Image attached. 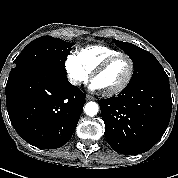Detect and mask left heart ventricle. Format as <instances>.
I'll list each match as a JSON object with an SVG mask.
<instances>
[{"label":"left heart ventricle","mask_w":178,"mask_h":178,"mask_svg":"<svg viewBox=\"0 0 178 178\" xmlns=\"http://www.w3.org/2000/svg\"><path fill=\"white\" fill-rule=\"evenodd\" d=\"M129 72V63L126 58H120L99 74L94 82L103 91H108L122 84Z\"/></svg>","instance_id":"left-heart-ventricle-1"}]
</instances>
